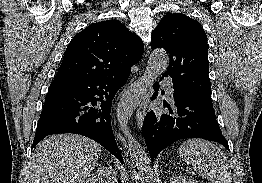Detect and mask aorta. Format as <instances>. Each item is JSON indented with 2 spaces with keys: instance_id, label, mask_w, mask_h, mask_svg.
Returning a JSON list of instances; mask_svg holds the SVG:
<instances>
[{
  "instance_id": "762f6f07",
  "label": "aorta",
  "mask_w": 262,
  "mask_h": 183,
  "mask_svg": "<svg viewBox=\"0 0 262 183\" xmlns=\"http://www.w3.org/2000/svg\"><path fill=\"white\" fill-rule=\"evenodd\" d=\"M169 55L165 50L151 52L147 67L141 79L134 82L122 95L117 107V118L120 128L129 139V145L135 152L136 164L143 172L150 171V160L147 154L138 148L137 141L131 136L128 129V120L140 102L145 98L154 81L167 69Z\"/></svg>"
}]
</instances>
